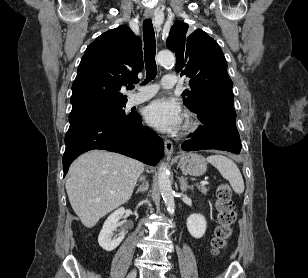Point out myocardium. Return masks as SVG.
<instances>
[{
    "mask_svg": "<svg viewBox=\"0 0 308 278\" xmlns=\"http://www.w3.org/2000/svg\"><path fill=\"white\" fill-rule=\"evenodd\" d=\"M198 122L193 116H188L184 125V130L189 132L197 128Z\"/></svg>",
    "mask_w": 308,
    "mask_h": 278,
    "instance_id": "obj_1",
    "label": "myocardium"
}]
</instances>
